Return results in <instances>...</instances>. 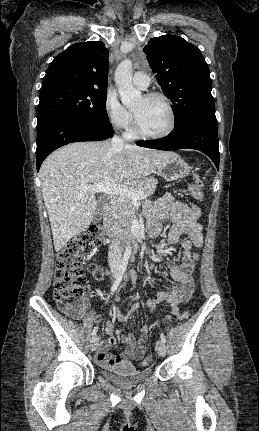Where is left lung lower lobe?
Here are the masks:
<instances>
[{
  "mask_svg": "<svg viewBox=\"0 0 259 431\" xmlns=\"http://www.w3.org/2000/svg\"><path fill=\"white\" fill-rule=\"evenodd\" d=\"M218 122L194 118L174 126L166 137L137 143L159 150L196 149L205 153L219 170Z\"/></svg>",
  "mask_w": 259,
  "mask_h": 431,
  "instance_id": "0a47b994",
  "label": "left lung lower lobe"
}]
</instances>
